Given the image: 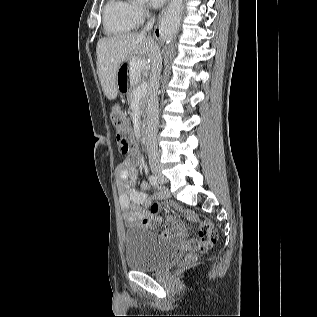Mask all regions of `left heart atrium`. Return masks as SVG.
<instances>
[{
    "mask_svg": "<svg viewBox=\"0 0 317 317\" xmlns=\"http://www.w3.org/2000/svg\"><path fill=\"white\" fill-rule=\"evenodd\" d=\"M149 4L152 6V7H160L164 2L165 0H148Z\"/></svg>",
    "mask_w": 317,
    "mask_h": 317,
    "instance_id": "left-heart-atrium-1",
    "label": "left heart atrium"
}]
</instances>
